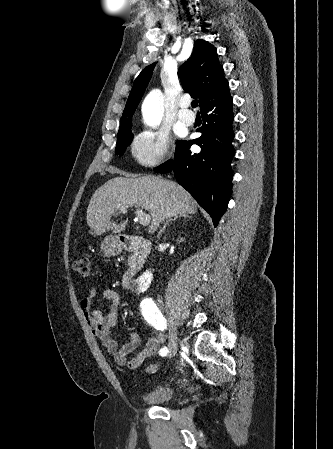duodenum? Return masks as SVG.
Segmentation results:
<instances>
[{"label": "duodenum", "mask_w": 333, "mask_h": 449, "mask_svg": "<svg viewBox=\"0 0 333 449\" xmlns=\"http://www.w3.org/2000/svg\"><path fill=\"white\" fill-rule=\"evenodd\" d=\"M117 245L123 250L132 251L134 259L131 266L126 271L123 280V286L130 288L135 275L143 268L148 257L151 244L144 237L140 236H120L117 238Z\"/></svg>", "instance_id": "1"}]
</instances>
